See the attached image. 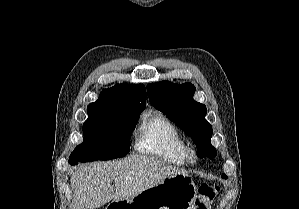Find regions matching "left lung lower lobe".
Instances as JSON below:
<instances>
[{
    "label": "left lung lower lobe",
    "instance_id": "left-lung-lower-lobe-1",
    "mask_svg": "<svg viewBox=\"0 0 299 209\" xmlns=\"http://www.w3.org/2000/svg\"><path fill=\"white\" fill-rule=\"evenodd\" d=\"M222 178H225V179H226V178H227V176H226L225 174H223V175H222Z\"/></svg>",
    "mask_w": 299,
    "mask_h": 209
}]
</instances>
